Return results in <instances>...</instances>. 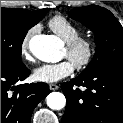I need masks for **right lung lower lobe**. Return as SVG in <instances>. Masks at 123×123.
Segmentation results:
<instances>
[{
	"mask_svg": "<svg viewBox=\"0 0 123 123\" xmlns=\"http://www.w3.org/2000/svg\"><path fill=\"white\" fill-rule=\"evenodd\" d=\"M30 73L26 66L1 68V123H30L34 108L50 93L42 82L17 85Z\"/></svg>",
	"mask_w": 123,
	"mask_h": 123,
	"instance_id": "1",
	"label": "right lung lower lobe"
}]
</instances>
